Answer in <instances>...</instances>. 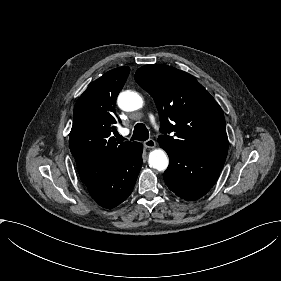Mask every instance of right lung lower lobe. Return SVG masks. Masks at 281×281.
<instances>
[{"instance_id":"right-lung-lower-lobe-1","label":"right lung lower lobe","mask_w":281,"mask_h":281,"mask_svg":"<svg viewBox=\"0 0 281 281\" xmlns=\"http://www.w3.org/2000/svg\"><path fill=\"white\" fill-rule=\"evenodd\" d=\"M142 151V144H136L113 171L86 185L100 206L113 208L131 194L142 166Z\"/></svg>"}]
</instances>
